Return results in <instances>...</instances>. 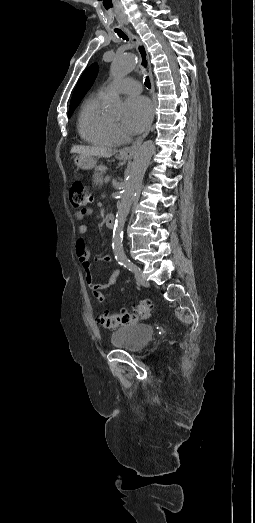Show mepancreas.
I'll return each instance as SVG.
<instances>
[{
  "instance_id": "1",
  "label": "pancreas",
  "mask_w": 255,
  "mask_h": 523,
  "mask_svg": "<svg viewBox=\"0 0 255 523\" xmlns=\"http://www.w3.org/2000/svg\"><path fill=\"white\" fill-rule=\"evenodd\" d=\"M107 168L105 166H99V168H95L94 176H93V184L97 186H101L104 182V174H106Z\"/></svg>"
}]
</instances>
